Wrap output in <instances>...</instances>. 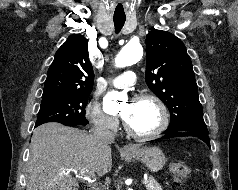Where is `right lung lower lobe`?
I'll use <instances>...</instances> for the list:
<instances>
[{"mask_svg": "<svg viewBox=\"0 0 238 190\" xmlns=\"http://www.w3.org/2000/svg\"><path fill=\"white\" fill-rule=\"evenodd\" d=\"M67 126H78L77 124H70V125H67Z\"/></svg>", "mask_w": 238, "mask_h": 190, "instance_id": "obj_1", "label": "right lung lower lobe"}]
</instances>
